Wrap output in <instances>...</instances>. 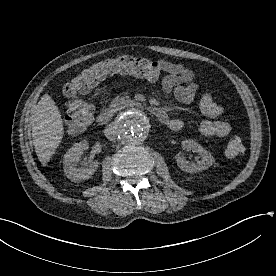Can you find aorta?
I'll use <instances>...</instances> for the list:
<instances>
[{
	"instance_id": "762f6f07",
	"label": "aorta",
	"mask_w": 276,
	"mask_h": 276,
	"mask_svg": "<svg viewBox=\"0 0 276 276\" xmlns=\"http://www.w3.org/2000/svg\"><path fill=\"white\" fill-rule=\"evenodd\" d=\"M148 129L149 123L145 114L138 109H130L119 119L117 136L121 143L135 145L146 138Z\"/></svg>"
}]
</instances>
